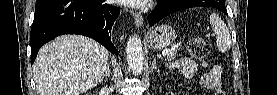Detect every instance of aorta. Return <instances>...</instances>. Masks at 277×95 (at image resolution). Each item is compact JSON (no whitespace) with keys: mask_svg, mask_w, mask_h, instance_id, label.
<instances>
[{"mask_svg":"<svg viewBox=\"0 0 277 95\" xmlns=\"http://www.w3.org/2000/svg\"><path fill=\"white\" fill-rule=\"evenodd\" d=\"M126 59L131 72L135 75L140 74L143 70V49L141 39L138 35H132L126 46Z\"/></svg>","mask_w":277,"mask_h":95,"instance_id":"aorta-1","label":"aorta"}]
</instances>
